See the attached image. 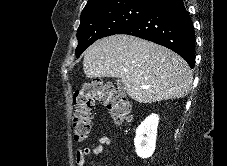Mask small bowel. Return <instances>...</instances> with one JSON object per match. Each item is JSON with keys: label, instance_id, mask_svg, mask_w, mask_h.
I'll use <instances>...</instances> for the list:
<instances>
[{"label": "small bowel", "instance_id": "small-bowel-1", "mask_svg": "<svg viewBox=\"0 0 227 166\" xmlns=\"http://www.w3.org/2000/svg\"><path fill=\"white\" fill-rule=\"evenodd\" d=\"M111 139L106 134H101L98 139V144L93 148L82 147L76 153V162L78 166L86 165V158L90 154L100 155L104 151V147L111 145Z\"/></svg>", "mask_w": 227, "mask_h": 166}]
</instances>
